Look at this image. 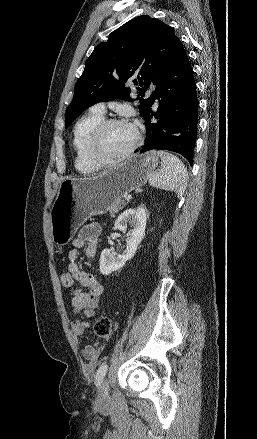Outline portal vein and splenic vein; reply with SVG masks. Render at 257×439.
Returning <instances> with one entry per match:
<instances>
[{"mask_svg": "<svg viewBox=\"0 0 257 439\" xmlns=\"http://www.w3.org/2000/svg\"><path fill=\"white\" fill-rule=\"evenodd\" d=\"M132 199V196L131 195H127V196H125V200H131Z\"/></svg>", "mask_w": 257, "mask_h": 439, "instance_id": "18ae733b", "label": "portal vein and splenic vein"}]
</instances>
